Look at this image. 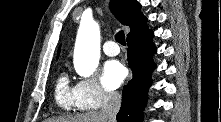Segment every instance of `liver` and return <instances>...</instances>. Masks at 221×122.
I'll return each mask as SVG.
<instances>
[{"mask_svg":"<svg viewBox=\"0 0 221 122\" xmlns=\"http://www.w3.org/2000/svg\"><path fill=\"white\" fill-rule=\"evenodd\" d=\"M45 122H108V119L104 118L101 112L91 111L68 118H48Z\"/></svg>","mask_w":221,"mask_h":122,"instance_id":"1","label":"liver"}]
</instances>
